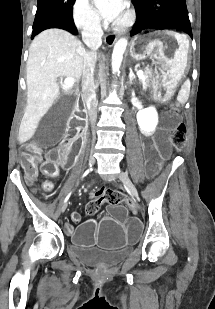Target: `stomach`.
Listing matches in <instances>:
<instances>
[{"label":"stomach","mask_w":215,"mask_h":309,"mask_svg":"<svg viewBox=\"0 0 215 309\" xmlns=\"http://www.w3.org/2000/svg\"><path fill=\"white\" fill-rule=\"evenodd\" d=\"M134 61L152 58L150 83L156 93L170 95L187 71L188 37L173 30H155L136 35L130 43Z\"/></svg>","instance_id":"1"}]
</instances>
